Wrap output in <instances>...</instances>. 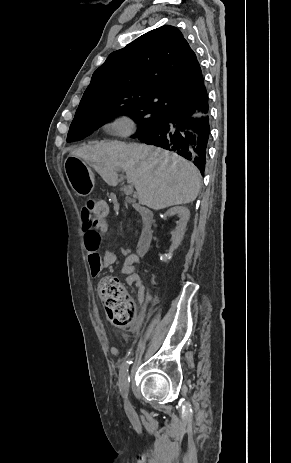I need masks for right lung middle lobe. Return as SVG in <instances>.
<instances>
[{
  "label": "right lung middle lobe",
  "mask_w": 291,
  "mask_h": 463,
  "mask_svg": "<svg viewBox=\"0 0 291 463\" xmlns=\"http://www.w3.org/2000/svg\"><path fill=\"white\" fill-rule=\"evenodd\" d=\"M119 115H129L138 125L139 137L161 124L164 113L134 101H118L96 104L89 108L77 109L71 123L67 141L81 140L107 121Z\"/></svg>",
  "instance_id": "1"
}]
</instances>
